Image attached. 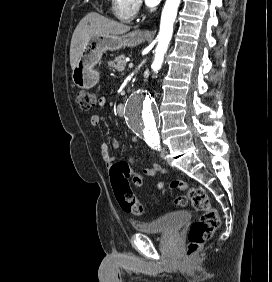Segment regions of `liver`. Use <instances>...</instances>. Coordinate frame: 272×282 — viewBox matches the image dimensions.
<instances>
[{
    "instance_id": "liver-1",
    "label": "liver",
    "mask_w": 272,
    "mask_h": 282,
    "mask_svg": "<svg viewBox=\"0 0 272 282\" xmlns=\"http://www.w3.org/2000/svg\"><path fill=\"white\" fill-rule=\"evenodd\" d=\"M130 30V26L106 18L98 13L87 14L74 30L70 45V65L72 70L77 65L81 53L89 41L101 34L121 35Z\"/></svg>"
}]
</instances>
